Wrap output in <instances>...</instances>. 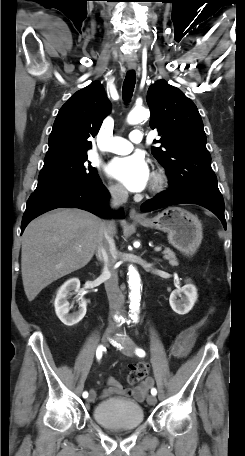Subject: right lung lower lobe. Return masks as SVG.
Here are the masks:
<instances>
[{"instance_id": "right-lung-lower-lobe-1", "label": "right lung lower lobe", "mask_w": 245, "mask_h": 456, "mask_svg": "<svg viewBox=\"0 0 245 456\" xmlns=\"http://www.w3.org/2000/svg\"><path fill=\"white\" fill-rule=\"evenodd\" d=\"M109 193L101 179L81 186H69L44 192H34L28 199L22 219L21 234L30 221L39 215L60 207H77L103 218L122 217V212H112L106 202Z\"/></svg>"}]
</instances>
